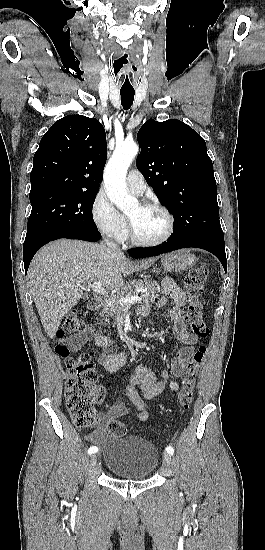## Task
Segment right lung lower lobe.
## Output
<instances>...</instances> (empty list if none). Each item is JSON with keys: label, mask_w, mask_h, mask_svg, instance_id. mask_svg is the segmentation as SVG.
<instances>
[{"label": "right lung lower lobe", "mask_w": 265, "mask_h": 550, "mask_svg": "<svg viewBox=\"0 0 265 550\" xmlns=\"http://www.w3.org/2000/svg\"><path fill=\"white\" fill-rule=\"evenodd\" d=\"M60 238L80 239V240L95 242L101 238V234L98 230L88 231V230H80V229H64V230L57 231L50 236L39 239L34 243L28 245L27 247H23V261H24L25 273H27L29 264L33 256L35 255V253L43 245L47 244L50 241L60 239Z\"/></svg>", "instance_id": "1"}]
</instances>
